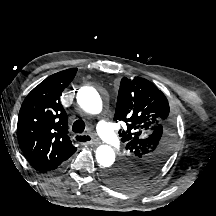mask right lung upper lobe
Here are the masks:
<instances>
[{
	"mask_svg": "<svg viewBox=\"0 0 216 216\" xmlns=\"http://www.w3.org/2000/svg\"><path fill=\"white\" fill-rule=\"evenodd\" d=\"M77 69L55 73L25 98L18 116L20 147L29 163L39 172L56 169L77 150L67 135V115L60 103L62 91Z\"/></svg>",
	"mask_w": 216,
	"mask_h": 216,
	"instance_id": "1",
	"label": "right lung upper lobe"
}]
</instances>
